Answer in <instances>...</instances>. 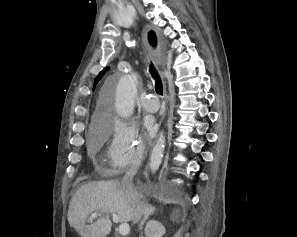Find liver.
<instances>
[{"label":"liver","mask_w":297,"mask_h":237,"mask_svg":"<svg viewBox=\"0 0 297 237\" xmlns=\"http://www.w3.org/2000/svg\"><path fill=\"white\" fill-rule=\"evenodd\" d=\"M93 212H99L100 218L87 225L86 221ZM110 213L117 214L123 223L133 220L131 204L121 184L117 181L88 182L73 195L68 222L81 237H106L112 222L104 214Z\"/></svg>","instance_id":"6515ba94"}]
</instances>
